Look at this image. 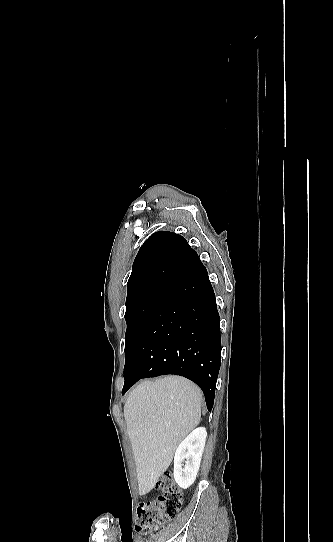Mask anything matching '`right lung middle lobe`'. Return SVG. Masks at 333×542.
Wrapping results in <instances>:
<instances>
[{
    "label": "right lung middle lobe",
    "instance_id": "right-lung-middle-lobe-1",
    "mask_svg": "<svg viewBox=\"0 0 333 542\" xmlns=\"http://www.w3.org/2000/svg\"><path fill=\"white\" fill-rule=\"evenodd\" d=\"M165 295L166 294L156 295L137 305L126 308L125 319L127 329L125 335V367L134 359V346L137 338L150 314Z\"/></svg>",
    "mask_w": 333,
    "mask_h": 542
}]
</instances>
